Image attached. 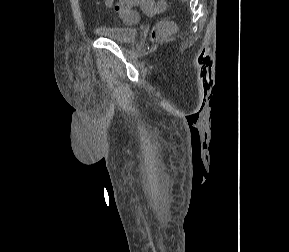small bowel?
Returning a JSON list of instances; mask_svg holds the SVG:
<instances>
[{"label":"small bowel","instance_id":"c3829d8e","mask_svg":"<svg viewBox=\"0 0 289 252\" xmlns=\"http://www.w3.org/2000/svg\"><path fill=\"white\" fill-rule=\"evenodd\" d=\"M103 3L107 8H111L113 7L115 0H103Z\"/></svg>","mask_w":289,"mask_h":252}]
</instances>
